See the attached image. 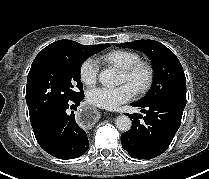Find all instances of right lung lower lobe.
Listing matches in <instances>:
<instances>
[{
	"label": "right lung lower lobe",
	"mask_w": 209,
	"mask_h": 179,
	"mask_svg": "<svg viewBox=\"0 0 209 179\" xmlns=\"http://www.w3.org/2000/svg\"><path fill=\"white\" fill-rule=\"evenodd\" d=\"M80 98L54 105L35 119L30 120L39 145L50 155L59 159H73L83 155L89 147L88 137L75 121L68 108L79 105Z\"/></svg>",
	"instance_id": "98d812e1"
}]
</instances>
